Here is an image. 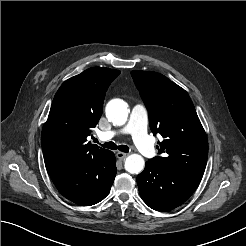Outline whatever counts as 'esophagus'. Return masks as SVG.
I'll return each mask as SVG.
<instances>
[{
	"mask_svg": "<svg viewBox=\"0 0 246 246\" xmlns=\"http://www.w3.org/2000/svg\"><path fill=\"white\" fill-rule=\"evenodd\" d=\"M126 156H127V154L124 153V152H121V151H118V152L116 153V157H117L119 160H123Z\"/></svg>",
	"mask_w": 246,
	"mask_h": 246,
	"instance_id": "esophagus-1",
	"label": "esophagus"
}]
</instances>
